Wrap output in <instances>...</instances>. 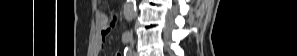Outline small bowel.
<instances>
[{"instance_id":"obj_1","label":"small bowel","mask_w":297,"mask_h":56,"mask_svg":"<svg viewBox=\"0 0 297 56\" xmlns=\"http://www.w3.org/2000/svg\"><path fill=\"white\" fill-rule=\"evenodd\" d=\"M115 21L108 18L107 15L101 14L100 15V36L95 46V52L97 54L100 53V51L103 49L106 38L114 26ZM117 56H120V54H117Z\"/></svg>"}]
</instances>
